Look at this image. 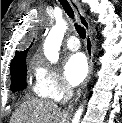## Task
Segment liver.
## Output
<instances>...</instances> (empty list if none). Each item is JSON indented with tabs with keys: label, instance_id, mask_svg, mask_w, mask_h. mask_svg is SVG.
Returning a JSON list of instances; mask_svg holds the SVG:
<instances>
[{
	"label": "liver",
	"instance_id": "obj_1",
	"mask_svg": "<svg viewBox=\"0 0 122 123\" xmlns=\"http://www.w3.org/2000/svg\"><path fill=\"white\" fill-rule=\"evenodd\" d=\"M67 115L52 101L32 98L21 104L10 123H66Z\"/></svg>",
	"mask_w": 122,
	"mask_h": 123
}]
</instances>
